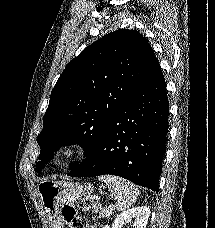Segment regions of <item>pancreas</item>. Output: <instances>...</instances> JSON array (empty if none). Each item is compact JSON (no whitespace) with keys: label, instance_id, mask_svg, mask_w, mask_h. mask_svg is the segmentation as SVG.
I'll return each instance as SVG.
<instances>
[{"label":"pancreas","instance_id":"1","mask_svg":"<svg viewBox=\"0 0 215 228\" xmlns=\"http://www.w3.org/2000/svg\"><path fill=\"white\" fill-rule=\"evenodd\" d=\"M111 214H113V210L110 208H101L98 218H110Z\"/></svg>","mask_w":215,"mask_h":228}]
</instances>
